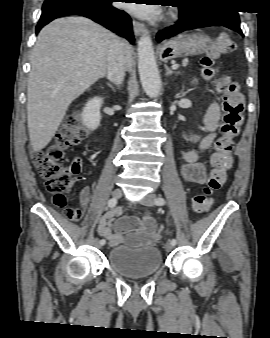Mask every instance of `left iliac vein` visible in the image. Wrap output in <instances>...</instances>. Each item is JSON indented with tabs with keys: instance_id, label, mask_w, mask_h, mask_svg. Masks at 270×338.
Instances as JSON below:
<instances>
[{
	"instance_id": "1",
	"label": "left iliac vein",
	"mask_w": 270,
	"mask_h": 338,
	"mask_svg": "<svg viewBox=\"0 0 270 338\" xmlns=\"http://www.w3.org/2000/svg\"><path fill=\"white\" fill-rule=\"evenodd\" d=\"M156 195L153 193L147 194L142 200L141 203L145 206H154V201L156 199ZM174 248V245L170 242H167L165 245V249L167 252H170Z\"/></svg>"
}]
</instances>
